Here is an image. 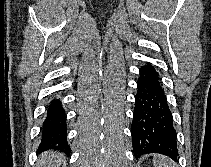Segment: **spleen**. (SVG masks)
Here are the masks:
<instances>
[{
    "instance_id": "spleen-1",
    "label": "spleen",
    "mask_w": 211,
    "mask_h": 167,
    "mask_svg": "<svg viewBox=\"0 0 211 167\" xmlns=\"http://www.w3.org/2000/svg\"><path fill=\"white\" fill-rule=\"evenodd\" d=\"M154 167H176L173 161L163 155H156L153 159Z\"/></svg>"
}]
</instances>
